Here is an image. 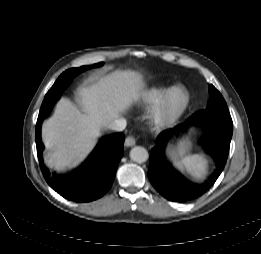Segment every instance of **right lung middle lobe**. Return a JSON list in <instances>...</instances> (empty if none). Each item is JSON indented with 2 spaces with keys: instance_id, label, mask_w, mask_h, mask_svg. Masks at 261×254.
<instances>
[{
  "instance_id": "right-lung-middle-lobe-1",
  "label": "right lung middle lobe",
  "mask_w": 261,
  "mask_h": 254,
  "mask_svg": "<svg viewBox=\"0 0 261 254\" xmlns=\"http://www.w3.org/2000/svg\"><path fill=\"white\" fill-rule=\"evenodd\" d=\"M103 63H98L93 66H82L80 68H73L66 70L63 74L59 76L57 81L54 83L52 88L47 92L45 97H49L58 93H61L71 82V80L78 75L79 73L92 68V67H99L102 66Z\"/></svg>"
}]
</instances>
